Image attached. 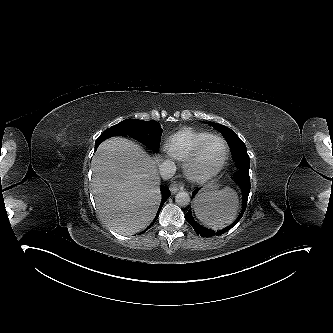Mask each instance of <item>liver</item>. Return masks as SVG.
Masks as SVG:
<instances>
[{
	"label": "liver",
	"instance_id": "obj_1",
	"mask_svg": "<svg viewBox=\"0 0 333 333\" xmlns=\"http://www.w3.org/2000/svg\"><path fill=\"white\" fill-rule=\"evenodd\" d=\"M159 162L122 137L99 146L92 159V193L99 215L113 231L132 235L152 221L161 200Z\"/></svg>",
	"mask_w": 333,
	"mask_h": 333
}]
</instances>
